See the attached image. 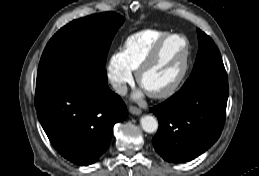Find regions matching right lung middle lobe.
<instances>
[{"label":"right lung middle lobe","instance_id":"1","mask_svg":"<svg viewBox=\"0 0 259 176\" xmlns=\"http://www.w3.org/2000/svg\"><path fill=\"white\" fill-rule=\"evenodd\" d=\"M123 21L121 15L105 12L68 23L50 39L38 68L65 59L105 65L112 39Z\"/></svg>","mask_w":259,"mask_h":176}]
</instances>
